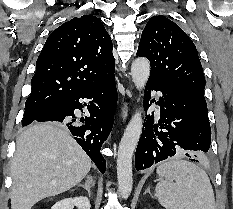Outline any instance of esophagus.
<instances>
[{
	"label": "esophagus",
	"mask_w": 233,
	"mask_h": 209,
	"mask_svg": "<svg viewBox=\"0 0 233 209\" xmlns=\"http://www.w3.org/2000/svg\"><path fill=\"white\" fill-rule=\"evenodd\" d=\"M127 117H128V104L125 103L124 106H123V108H122V111H121V119H122V121L123 122L126 121Z\"/></svg>",
	"instance_id": "esophagus-1"
}]
</instances>
